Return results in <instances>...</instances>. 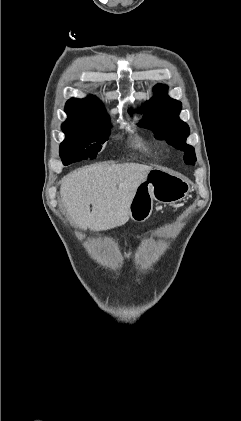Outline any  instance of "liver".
Listing matches in <instances>:
<instances>
[{"mask_svg": "<svg viewBox=\"0 0 241 421\" xmlns=\"http://www.w3.org/2000/svg\"><path fill=\"white\" fill-rule=\"evenodd\" d=\"M151 170L152 167L139 163L80 168L62 180V204L69 218L82 229H114L129 219L134 193Z\"/></svg>", "mask_w": 241, "mask_h": 421, "instance_id": "1", "label": "liver"}]
</instances>
